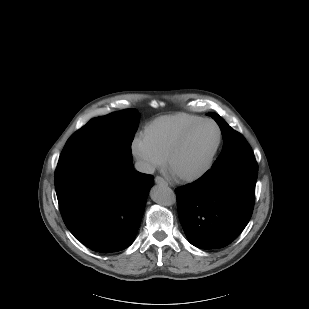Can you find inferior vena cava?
<instances>
[{"mask_svg":"<svg viewBox=\"0 0 309 309\" xmlns=\"http://www.w3.org/2000/svg\"><path fill=\"white\" fill-rule=\"evenodd\" d=\"M135 169L137 171L147 173V174H153L154 171H155L154 166H152L151 164L144 162V161H137L135 163Z\"/></svg>","mask_w":309,"mask_h":309,"instance_id":"1","label":"inferior vena cava"}]
</instances>
